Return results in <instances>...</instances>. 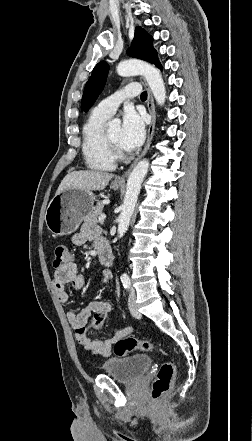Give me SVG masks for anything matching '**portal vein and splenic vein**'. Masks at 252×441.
<instances>
[{"label":"portal vein and splenic vein","instance_id":"portal-vein-and-splenic-vein-1","mask_svg":"<svg viewBox=\"0 0 252 441\" xmlns=\"http://www.w3.org/2000/svg\"><path fill=\"white\" fill-rule=\"evenodd\" d=\"M106 219V215L105 214H101L100 216H99V222H104V220Z\"/></svg>","mask_w":252,"mask_h":441}]
</instances>
